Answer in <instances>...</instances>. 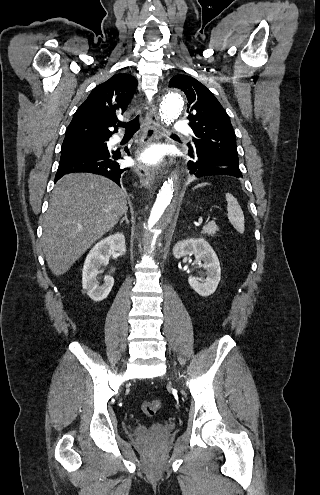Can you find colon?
Masks as SVG:
<instances>
[{"label": "colon", "instance_id": "obj_1", "mask_svg": "<svg viewBox=\"0 0 320 495\" xmlns=\"http://www.w3.org/2000/svg\"><path fill=\"white\" fill-rule=\"evenodd\" d=\"M162 407V402L159 399L146 401L142 405L144 413L150 417H153L159 413Z\"/></svg>", "mask_w": 320, "mask_h": 495}]
</instances>
